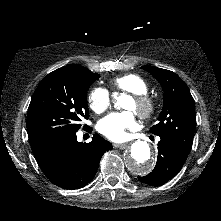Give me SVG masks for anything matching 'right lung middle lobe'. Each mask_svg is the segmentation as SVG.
<instances>
[{"label": "right lung middle lobe", "instance_id": "right-lung-middle-lobe-1", "mask_svg": "<svg viewBox=\"0 0 221 221\" xmlns=\"http://www.w3.org/2000/svg\"><path fill=\"white\" fill-rule=\"evenodd\" d=\"M99 74L89 69L59 68L49 73L36 88L27 113L30 145L61 133L78 131L88 119L86 101L90 85Z\"/></svg>", "mask_w": 221, "mask_h": 221}]
</instances>
